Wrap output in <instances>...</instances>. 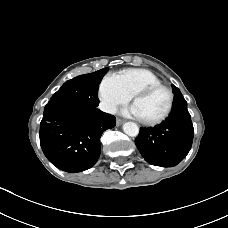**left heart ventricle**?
<instances>
[{
  "mask_svg": "<svg viewBox=\"0 0 228 228\" xmlns=\"http://www.w3.org/2000/svg\"><path fill=\"white\" fill-rule=\"evenodd\" d=\"M169 95L166 90L159 89L134 102L140 118L154 119L160 116L168 106Z\"/></svg>",
  "mask_w": 228,
  "mask_h": 228,
  "instance_id": "b2bd125f",
  "label": "left heart ventricle"
}]
</instances>
